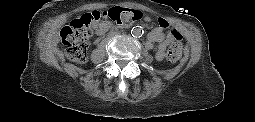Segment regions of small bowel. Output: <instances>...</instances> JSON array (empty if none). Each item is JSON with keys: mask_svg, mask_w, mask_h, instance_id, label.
<instances>
[{"mask_svg": "<svg viewBox=\"0 0 255 122\" xmlns=\"http://www.w3.org/2000/svg\"><path fill=\"white\" fill-rule=\"evenodd\" d=\"M146 22H151V18L147 17ZM160 22H165L166 27H163ZM159 25L152 29L147 37L145 48L146 50H152L155 43H158V47L154 51L155 58L162 60L165 55L166 47L174 41V37L171 32L165 33V29L168 27V23L165 19L160 18L158 21Z\"/></svg>", "mask_w": 255, "mask_h": 122, "instance_id": "c3829d8e", "label": "small bowel"}]
</instances>
